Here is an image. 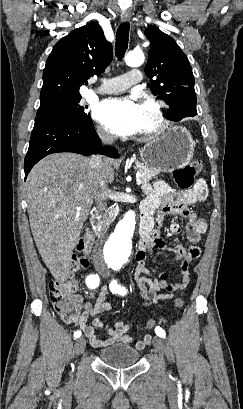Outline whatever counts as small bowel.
<instances>
[{
	"mask_svg": "<svg viewBox=\"0 0 243 409\" xmlns=\"http://www.w3.org/2000/svg\"><path fill=\"white\" fill-rule=\"evenodd\" d=\"M146 192L147 198L142 209H148L152 213L156 211L157 222L151 236L140 241L133 276L138 285L140 296L143 298V304L150 306L160 300L171 299L176 293L185 289L190 282L189 264L199 258L201 249L196 244L207 231L206 221L199 218L191 210V207L206 199L208 188L206 182L200 179L193 188L176 192L167 183L158 181L152 187H147ZM167 214H178L187 219V239L193 244L189 248L182 245L170 248L160 237L159 228L162 225L164 216ZM170 231L173 234H179L181 226L173 222L170 225ZM154 248L170 250L175 254L176 259L180 260L178 269L180 282H168L166 273L159 272L157 268L148 265L147 259L152 256ZM163 290L166 293H160ZM108 295L109 290L102 288L93 304L85 301L80 295L73 296L75 305L79 310L78 317L74 322L79 325L88 338L90 345L94 348L108 347L116 342L130 344L134 341L133 337L128 334L130 325L127 322L117 321L111 327L106 326L103 320L97 317L98 314L108 313L112 310ZM90 318H93L92 325L88 324ZM96 329H105L108 338L98 339L95 334ZM150 341V335L140 336L135 343V347L139 350L144 349Z\"/></svg>",
	"mask_w": 243,
	"mask_h": 409,
	"instance_id": "obj_1",
	"label": "small bowel"
}]
</instances>
